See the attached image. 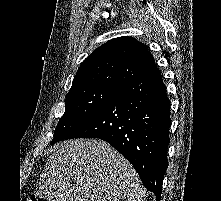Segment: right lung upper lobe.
I'll use <instances>...</instances> for the list:
<instances>
[{"label":"right lung upper lobe","mask_w":221,"mask_h":201,"mask_svg":"<svg viewBox=\"0 0 221 201\" xmlns=\"http://www.w3.org/2000/svg\"><path fill=\"white\" fill-rule=\"evenodd\" d=\"M157 68L146 46L131 37H118L98 47L80 65L70 91L102 86L120 90Z\"/></svg>","instance_id":"right-lung-upper-lobe-1"}]
</instances>
